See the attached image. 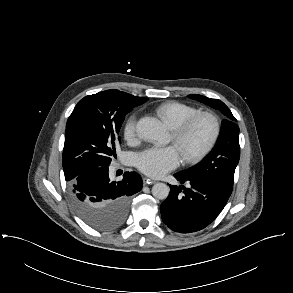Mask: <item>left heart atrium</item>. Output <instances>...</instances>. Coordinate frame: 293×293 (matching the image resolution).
<instances>
[{"label": "left heart atrium", "mask_w": 293, "mask_h": 293, "mask_svg": "<svg viewBox=\"0 0 293 293\" xmlns=\"http://www.w3.org/2000/svg\"><path fill=\"white\" fill-rule=\"evenodd\" d=\"M181 161V154L176 146L152 147L136 157L137 167L145 174L159 178L176 168Z\"/></svg>", "instance_id": "1"}]
</instances>
